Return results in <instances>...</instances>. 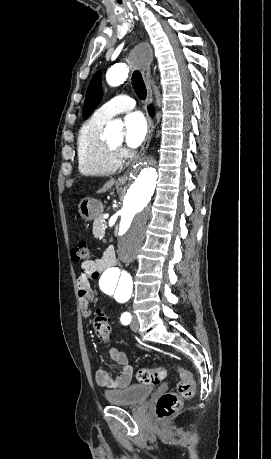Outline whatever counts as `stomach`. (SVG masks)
<instances>
[{
  "label": "stomach",
  "instance_id": "obj_1",
  "mask_svg": "<svg viewBox=\"0 0 271 459\" xmlns=\"http://www.w3.org/2000/svg\"><path fill=\"white\" fill-rule=\"evenodd\" d=\"M116 188H118V190H122V186H118V184H116ZM78 212L85 222H90V220H96L98 216H101L103 206L100 204L99 200L83 198L80 204H78Z\"/></svg>",
  "mask_w": 271,
  "mask_h": 459
}]
</instances>
